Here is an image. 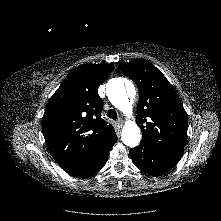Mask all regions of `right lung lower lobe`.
Here are the masks:
<instances>
[{
    "instance_id": "1",
    "label": "right lung lower lobe",
    "mask_w": 221,
    "mask_h": 221,
    "mask_svg": "<svg viewBox=\"0 0 221 221\" xmlns=\"http://www.w3.org/2000/svg\"><path fill=\"white\" fill-rule=\"evenodd\" d=\"M116 141H117V136L114 137L111 141L104 144L84 162L66 168L64 170L68 174L79 178H86L95 174L105 165L108 159V154Z\"/></svg>"
}]
</instances>
